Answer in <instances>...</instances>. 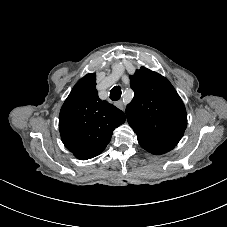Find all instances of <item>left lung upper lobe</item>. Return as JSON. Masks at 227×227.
<instances>
[{"label": "left lung upper lobe", "instance_id": "5c2ea615", "mask_svg": "<svg viewBox=\"0 0 227 227\" xmlns=\"http://www.w3.org/2000/svg\"><path fill=\"white\" fill-rule=\"evenodd\" d=\"M133 100L126 107L129 125L177 145L187 126L186 109L172 84L145 67L130 76Z\"/></svg>", "mask_w": 227, "mask_h": 227}]
</instances>
